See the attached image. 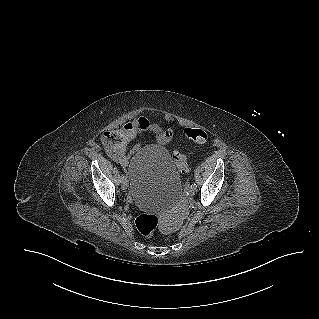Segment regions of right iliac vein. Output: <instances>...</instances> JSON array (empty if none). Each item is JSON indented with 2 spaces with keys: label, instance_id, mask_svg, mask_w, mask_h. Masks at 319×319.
Listing matches in <instances>:
<instances>
[{
  "label": "right iliac vein",
  "instance_id": "1",
  "mask_svg": "<svg viewBox=\"0 0 319 319\" xmlns=\"http://www.w3.org/2000/svg\"><path fill=\"white\" fill-rule=\"evenodd\" d=\"M121 187L123 190H126L128 188V181L126 179L122 180Z\"/></svg>",
  "mask_w": 319,
  "mask_h": 319
}]
</instances>
